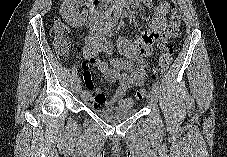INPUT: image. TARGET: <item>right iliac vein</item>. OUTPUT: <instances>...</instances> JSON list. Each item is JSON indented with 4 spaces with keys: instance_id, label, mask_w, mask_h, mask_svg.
<instances>
[{
    "instance_id": "obj_1",
    "label": "right iliac vein",
    "mask_w": 227,
    "mask_h": 157,
    "mask_svg": "<svg viewBox=\"0 0 227 157\" xmlns=\"http://www.w3.org/2000/svg\"><path fill=\"white\" fill-rule=\"evenodd\" d=\"M74 89L75 92L79 94L81 92V85L79 83L75 84Z\"/></svg>"
}]
</instances>
